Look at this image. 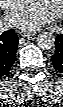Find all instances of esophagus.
Wrapping results in <instances>:
<instances>
[{"label": "esophagus", "mask_w": 63, "mask_h": 107, "mask_svg": "<svg viewBox=\"0 0 63 107\" xmlns=\"http://www.w3.org/2000/svg\"><path fill=\"white\" fill-rule=\"evenodd\" d=\"M22 36L30 37L36 35V32H22Z\"/></svg>", "instance_id": "obj_1"}]
</instances>
